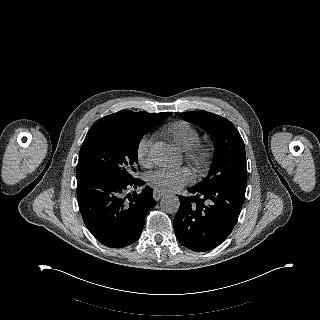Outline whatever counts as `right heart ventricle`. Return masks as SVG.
Instances as JSON below:
<instances>
[{
	"mask_svg": "<svg viewBox=\"0 0 320 320\" xmlns=\"http://www.w3.org/2000/svg\"><path fill=\"white\" fill-rule=\"evenodd\" d=\"M163 131L183 151L190 149L199 140L197 130L185 121H176L165 127Z\"/></svg>",
	"mask_w": 320,
	"mask_h": 320,
	"instance_id": "1",
	"label": "right heart ventricle"
}]
</instances>
